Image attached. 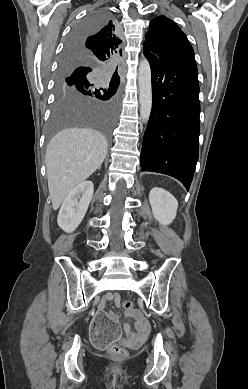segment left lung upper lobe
Masks as SVG:
<instances>
[{
    "mask_svg": "<svg viewBox=\"0 0 248 389\" xmlns=\"http://www.w3.org/2000/svg\"><path fill=\"white\" fill-rule=\"evenodd\" d=\"M144 50L159 58L194 56L186 35L165 16L154 18L143 43Z\"/></svg>",
    "mask_w": 248,
    "mask_h": 389,
    "instance_id": "left-lung-upper-lobe-1",
    "label": "left lung upper lobe"
}]
</instances>
